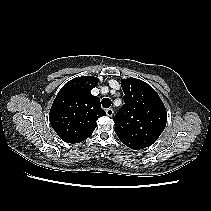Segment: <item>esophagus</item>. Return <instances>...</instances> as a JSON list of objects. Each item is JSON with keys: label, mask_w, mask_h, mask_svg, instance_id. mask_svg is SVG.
Wrapping results in <instances>:
<instances>
[{"label": "esophagus", "mask_w": 211, "mask_h": 211, "mask_svg": "<svg viewBox=\"0 0 211 211\" xmlns=\"http://www.w3.org/2000/svg\"><path fill=\"white\" fill-rule=\"evenodd\" d=\"M106 114L109 117H112L114 115V110L112 108H109L106 110Z\"/></svg>", "instance_id": "esophagus-1"}]
</instances>
